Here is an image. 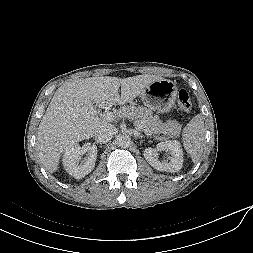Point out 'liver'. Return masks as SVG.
Listing matches in <instances>:
<instances>
[{
  "instance_id": "liver-1",
  "label": "liver",
  "mask_w": 253,
  "mask_h": 253,
  "mask_svg": "<svg viewBox=\"0 0 253 253\" xmlns=\"http://www.w3.org/2000/svg\"><path fill=\"white\" fill-rule=\"evenodd\" d=\"M157 75H137L124 79L101 76L78 79L60 86L38 128V152L42 165L50 173L58 169L62 152L78 141L93 137L107 124L94 107L107 109L131 102L141 95ZM121 87V94L119 88Z\"/></svg>"
}]
</instances>
